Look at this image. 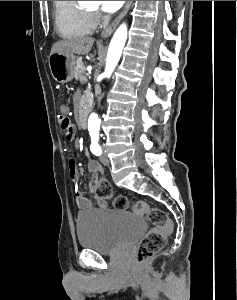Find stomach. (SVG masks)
I'll use <instances>...</instances> for the list:
<instances>
[{"label": "stomach", "mask_w": 237, "mask_h": 300, "mask_svg": "<svg viewBox=\"0 0 237 300\" xmlns=\"http://www.w3.org/2000/svg\"><path fill=\"white\" fill-rule=\"evenodd\" d=\"M51 75L58 83H69L74 77L75 57L70 53H53L48 59Z\"/></svg>", "instance_id": "obj_1"}]
</instances>
